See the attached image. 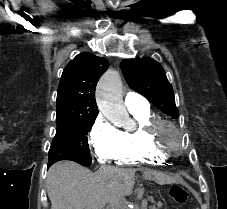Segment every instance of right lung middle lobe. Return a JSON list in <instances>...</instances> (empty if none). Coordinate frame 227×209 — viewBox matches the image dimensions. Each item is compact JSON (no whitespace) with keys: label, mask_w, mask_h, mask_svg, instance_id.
<instances>
[{"label":"right lung middle lobe","mask_w":227,"mask_h":209,"mask_svg":"<svg viewBox=\"0 0 227 209\" xmlns=\"http://www.w3.org/2000/svg\"><path fill=\"white\" fill-rule=\"evenodd\" d=\"M97 115H57L56 135L48 156V167L57 161L71 160L83 166L92 163L87 134Z\"/></svg>","instance_id":"dd1d6c3e"}]
</instances>
